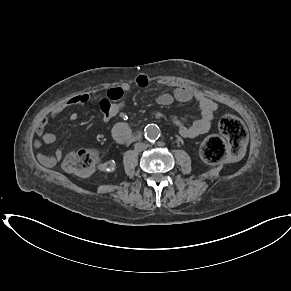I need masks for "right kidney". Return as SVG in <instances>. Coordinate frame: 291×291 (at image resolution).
Masks as SVG:
<instances>
[{"label":"right kidney","instance_id":"ca27d5eb","mask_svg":"<svg viewBox=\"0 0 291 291\" xmlns=\"http://www.w3.org/2000/svg\"><path fill=\"white\" fill-rule=\"evenodd\" d=\"M98 169H99V170H105V169H106V165H105V164H100V165L98 166Z\"/></svg>","mask_w":291,"mask_h":291}]
</instances>
